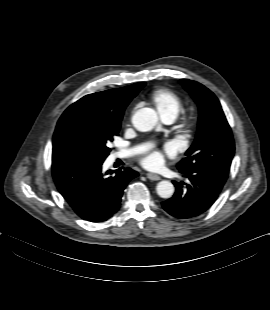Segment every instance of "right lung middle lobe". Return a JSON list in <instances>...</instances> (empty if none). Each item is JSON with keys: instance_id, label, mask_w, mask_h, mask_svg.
<instances>
[{"instance_id": "obj_1", "label": "right lung middle lobe", "mask_w": 270, "mask_h": 310, "mask_svg": "<svg viewBox=\"0 0 270 310\" xmlns=\"http://www.w3.org/2000/svg\"><path fill=\"white\" fill-rule=\"evenodd\" d=\"M119 129L120 125L107 121L94 108L79 107L66 120L65 145L72 159L102 163Z\"/></svg>"}]
</instances>
